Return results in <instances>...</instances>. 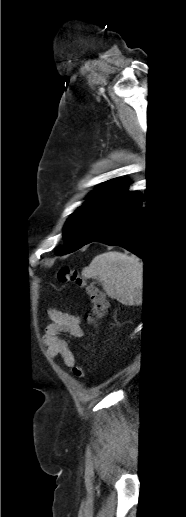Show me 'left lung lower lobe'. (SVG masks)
I'll list each match as a JSON object with an SVG mask.
<instances>
[{
	"mask_svg": "<svg viewBox=\"0 0 186 517\" xmlns=\"http://www.w3.org/2000/svg\"><path fill=\"white\" fill-rule=\"evenodd\" d=\"M143 209L136 192H126L96 225L87 244L121 246L148 262L142 238Z\"/></svg>",
	"mask_w": 186,
	"mask_h": 517,
	"instance_id": "1",
	"label": "left lung lower lobe"
}]
</instances>
